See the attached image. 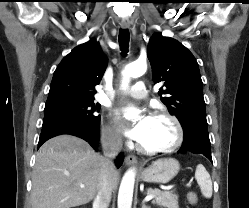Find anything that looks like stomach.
Segmentation results:
<instances>
[{"mask_svg": "<svg viewBox=\"0 0 249 208\" xmlns=\"http://www.w3.org/2000/svg\"><path fill=\"white\" fill-rule=\"evenodd\" d=\"M179 170L180 164L176 159L162 158L145 168L140 177L148 183L166 184L178 174Z\"/></svg>", "mask_w": 249, "mask_h": 208, "instance_id": "obj_1", "label": "stomach"}]
</instances>
